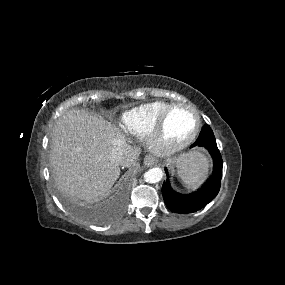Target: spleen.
Instances as JSON below:
<instances>
[{
  "label": "spleen",
  "instance_id": "obj_1",
  "mask_svg": "<svg viewBox=\"0 0 285 285\" xmlns=\"http://www.w3.org/2000/svg\"><path fill=\"white\" fill-rule=\"evenodd\" d=\"M208 168L207 157L199 151H193L178 164L177 174L186 186L196 188L203 183Z\"/></svg>",
  "mask_w": 285,
  "mask_h": 285
}]
</instances>
